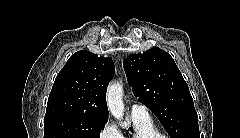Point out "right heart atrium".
Returning a JSON list of instances; mask_svg holds the SVG:
<instances>
[{
	"label": "right heart atrium",
	"mask_w": 240,
	"mask_h": 138,
	"mask_svg": "<svg viewBox=\"0 0 240 138\" xmlns=\"http://www.w3.org/2000/svg\"><path fill=\"white\" fill-rule=\"evenodd\" d=\"M99 138H120V133L111 121H107L99 131Z\"/></svg>",
	"instance_id": "d8ad5b80"
}]
</instances>
